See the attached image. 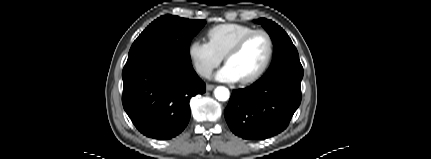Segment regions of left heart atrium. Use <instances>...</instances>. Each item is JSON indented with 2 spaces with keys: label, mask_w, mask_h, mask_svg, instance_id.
Here are the masks:
<instances>
[{
  "label": "left heart atrium",
  "mask_w": 431,
  "mask_h": 159,
  "mask_svg": "<svg viewBox=\"0 0 431 159\" xmlns=\"http://www.w3.org/2000/svg\"><path fill=\"white\" fill-rule=\"evenodd\" d=\"M215 78L218 81H222V82H237V81H239L238 76L236 75V73L233 71V69L228 64H225L222 68H220L216 72Z\"/></svg>",
  "instance_id": "39dd6f15"
}]
</instances>
